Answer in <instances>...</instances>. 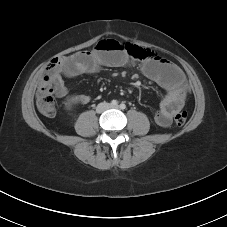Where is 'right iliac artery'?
Masks as SVG:
<instances>
[{
    "mask_svg": "<svg viewBox=\"0 0 227 227\" xmlns=\"http://www.w3.org/2000/svg\"><path fill=\"white\" fill-rule=\"evenodd\" d=\"M111 105H112V106H117V105H118V102H117L116 100H112V101H111Z\"/></svg>",
    "mask_w": 227,
    "mask_h": 227,
    "instance_id": "1",
    "label": "right iliac artery"
}]
</instances>
